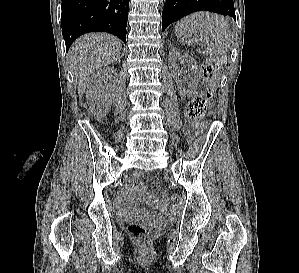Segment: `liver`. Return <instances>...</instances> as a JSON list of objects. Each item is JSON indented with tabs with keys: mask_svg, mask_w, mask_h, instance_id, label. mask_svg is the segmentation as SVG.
<instances>
[{
	"mask_svg": "<svg viewBox=\"0 0 299 273\" xmlns=\"http://www.w3.org/2000/svg\"><path fill=\"white\" fill-rule=\"evenodd\" d=\"M121 49V41L105 33L86 34L74 42L68 57L79 96L84 94L90 75L116 61Z\"/></svg>",
	"mask_w": 299,
	"mask_h": 273,
	"instance_id": "1",
	"label": "liver"
}]
</instances>
